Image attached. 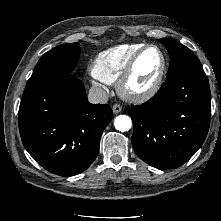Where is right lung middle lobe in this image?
Returning <instances> with one entry per match:
<instances>
[{"instance_id":"dd1d6c3e","label":"right lung middle lobe","mask_w":221,"mask_h":221,"mask_svg":"<svg viewBox=\"0 0 221 221\" xmlns=\"http://www.w3.org/2000/svg\"><path fill=\"white\" fill-rule=\"evenodd\" d=\"M80 56L79 43L63 44L42 55L31 77L71 74ZM81 75V73H79Z\"/></svg>"}]
</instances>
